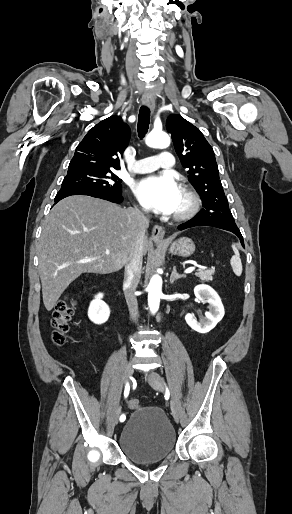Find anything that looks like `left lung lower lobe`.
<instances>
[{
    "instance_id": "obj_1",
    "label": "left lung lower lobe",
    "mask_w": 292,
    "mask_h": 514,
    "mask_svg": "<svg viewBox=\"0 0 292 514\" xmlns=\"http://www.w3.org/2000/svg\"><path fill=\"white\" fill-rule=\"evenodd\" d=\"M194 226H212V227H217V228L224 229L227 231H231L239 237L241 244L244 246L243 237H242L241 232L238 227H230L228 225L214 222V221H200L196 217H194L191 220L179 225L178 229L184 230L186 228H190V227H194Z\"/></svg>"
}]
</instances>
